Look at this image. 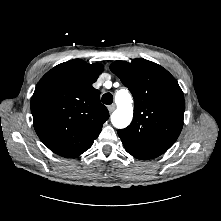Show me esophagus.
I'll list each match as a JSON object with an SVG mask.
<instances>
[{
	"label": "esophagus",
	"instance_id": "34e87169",
	"mask_svg": "<svg viewBox=\"0 0 221 221\" xmlns=\"http://www.w3.org/2000/svg\"><path fill=\"white\" fill-rule=\"evenodd\" d=\"M107 108H108L109 112H113L115 110L116 106H115V104H111Z\"/></svg>",
	"mask_w": 221,
	"mask_h": 221
}]
</instances>
